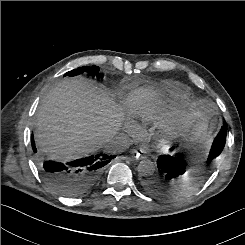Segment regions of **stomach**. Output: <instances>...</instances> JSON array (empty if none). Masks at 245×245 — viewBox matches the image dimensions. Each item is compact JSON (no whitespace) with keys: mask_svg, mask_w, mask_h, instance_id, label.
Returning a JSON list of instances; mask_svg holds the SVG:
<instances>
[{"mask_svg":"<svg viewBox=\"0 0 245 245\" xmlns=\"http://www.w3.org/2000/svg\"><path fill=\"white\" fill-rule=\"evenodd\" d=\"M215 113L210 105L202 108L183 126L181 132L192 142L204 145L213 135L216 127Z\"/></svg>","mask_w":245,"mask_h":245,"instance_id":"0dacf381","label":"stomach"}]
</instances>
